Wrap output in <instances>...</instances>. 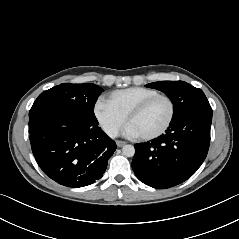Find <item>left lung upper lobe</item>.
<instances>
[{
	"label": "left lung upper lobe",
	"instance_id": "1",
	"mask_svg": "<svg viewBox=\"0 0 239 239\" xmlns=\"http://www.w3.org/2000/svg\"><path fill=\"white\" fill-rule=\"evenodd\" d=\"M146 86L160 90L169 97L174 104L172 120L191 111L211 109L203 91L184 81H160Z\"/></svg>",
	"mask_w": 239,
	"mask_h": 239
}]
</instances>
